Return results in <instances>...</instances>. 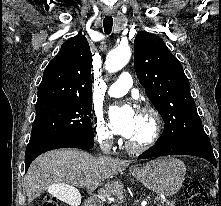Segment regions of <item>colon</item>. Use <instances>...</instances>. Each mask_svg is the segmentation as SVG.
Listing matches in <instances>:
<instances>
[{
	"label": "colon",
	"mask_w": 221,
	"mask_h": 206,
	"mask_svg": "<svg viewBox=\"0 0 221 206\" xmlns=\"http://www.w3.org/2000/svg\"><path fill=\"white\" fill-rule=\"evenodd\" d=\"M184 191L189 206H208V196L201 183L192 177H187L184 182ZM42 206H60L52 197L44 198Z\"/></svg>",
	"instance_id": "5ec220e1"
}]
</instances>
